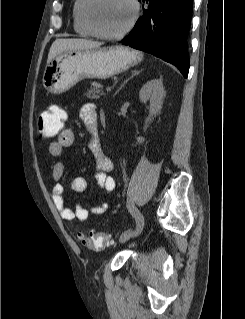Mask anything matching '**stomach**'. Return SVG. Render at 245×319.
I'll list each match as a JSON object with an SVG mask.
<instances>
[{"label":"stomach","instance_id":"obj_1","mask_svg":"<svg viewBox=\"0 0 245 319\" xmlns=\"http://www.w3.org/2000/svg\"><path fill=\"white\" fill-rule=\"evenodd\" d=\"M142 53L123 46L63 52L43 73V86L52 94L68 91L83 78H108L142 60Z\"/></svg>","mask_w":245,"mask_h":319}]
</instances>
